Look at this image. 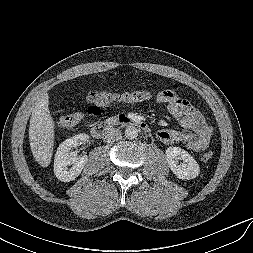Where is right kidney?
Masks as SVG:
<instances>
[{
	"instance_id": "1",
	"label": "right kidney",
	"mask_w": 253,
	"mask_h": 253,
	"mask_svg": "<svg viewBox=\"0 0 253 253\" xmlns=\"http://www.w3.org/2000/svg\"><path fill=\"white\" fill-rule=\"evenodd\" d=\"M86 141H89V136L87 134H79L59 145L54 158V174L60 181H72L82 172L88 157L86 155L77 156L75 152H70V149ZM71 165L72 167L68 168Z\"/></svg>"
}]
</instances>
